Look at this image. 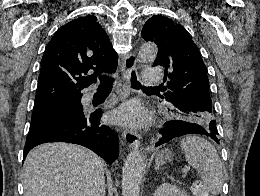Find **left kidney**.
<instances>
[{
	"mask_svg": "<svg viewBox=\"0 0 260 196\" xmlns=\"http://www.w3.org/2000/svg\"><path fill=\"white\" fill-rule=\"evenodd\" d=\"M154 196H187L184 190H180L177 186L172 184H161L154 192Z\"/></svg>",
	"mask_w": 260,
	"mask_h": 196,
	"instance_id": "5707ae66",
	"label": "left kidney"
}]
</instances>
